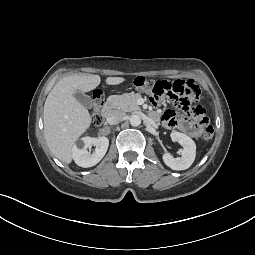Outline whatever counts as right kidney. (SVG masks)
Returning a JSON list of instances; mask_svg holds the SVG:
<instances>
[{
	"instance_id": "right-kidney-1",
	"label": "right kidney",
	"mask_w": 255,
	"mask_h": 255,
	"mask_svg": "<svg viewBox=\"0 0 255 255\" xmlns=\"http://www.w3.org/2000/svg\"><path fill=\"white\" fill-rule=\"evenodd\" d=\"M94 145L95 151L91 154L87 151ZM109 146L108 138L102 136L99 138L83 137L72 147V156L75 163L83 168L96 165L104 157Z\"/></svg>"
}]
</instances>
